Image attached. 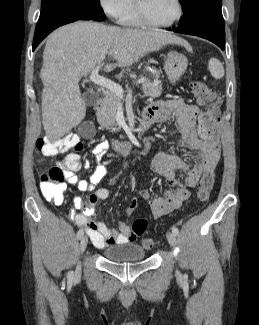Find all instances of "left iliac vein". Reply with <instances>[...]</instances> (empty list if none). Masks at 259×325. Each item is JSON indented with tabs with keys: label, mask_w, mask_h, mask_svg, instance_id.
<instances>
[{
	"label": "left iliac vein",
	"mask_w": 259,
	"mask_h": 325,
	"mask_svg": "<svg viewBox=\"0 0 259 325\" xmlns=\"http://www.w3.org/2000/svg\"><path fill=\"white\" fill-rule=\"evenodd\" d=\"M167 240H168L169 244H170L172 247L175 246V244H176V235H175L173 232H168V233H167ZM176 274H177L178 276L180 275V273H179L178 270L176 271Z\"/></svg>",
	"instance_id": "1"
}]
</instances>
